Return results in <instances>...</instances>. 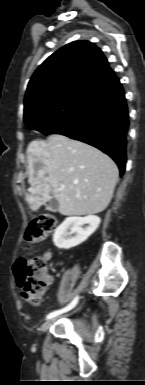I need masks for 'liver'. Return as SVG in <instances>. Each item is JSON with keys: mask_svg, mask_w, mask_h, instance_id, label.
<instances>
[{"mask_svg": "<svg viewBox=\"0 0 145 385\" xmlns=\"http://www.w3.org/2000/svg\"><path fill=\"white\" fill-rule=\"evenodd\" d=\"M27 155L31 187L26 201L32 210L53 198L65 216L100 213L109 205L119 172L115 162L97 148L53 134L47 140L32 141Z\"/></svg>", "mask_w": 145, "mask_h": 385, "instance_id": "liver-1", "label": "liver"}]
</instances>
